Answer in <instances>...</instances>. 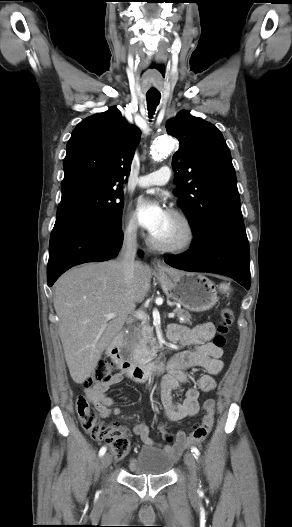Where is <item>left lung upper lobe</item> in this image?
I'll use <instances>...</instances> for the list:
<instances>
[{
  "mask_svg": "<svg viewBox=\"0 0 292 527\" xmlns=\"http://www.w3.org/2000/svg\"><path fill=\"white\" fill-rule=\"evenodd\" d=\"M167 133L179 140L173 155L179 205L194 236L220 227L244 228L235 170L221 132L211 123L181 111Z\"/></svg>",
  "mask_w": 292,
  "mask_h": 527,
  "instance_id": "5c2ea615",
  "label": "left lung upper lobe"
}]
</instances>
